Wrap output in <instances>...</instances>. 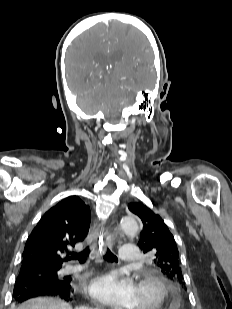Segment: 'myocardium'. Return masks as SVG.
I'll list each match as a JSON object with an SVG mask.
<instances>
[{
  "label": "myocardium",
  "instance_id": "f54148a6",
  "mask_svg": "<svg viewBox=\"0 0 232 309\" xmlns=\"http://www.w3.org/2000/svg\"><path fill=\"white\" fill-rule=\"evenodd\" d=\"M152 285L156 291V298L152 305L143 309H163L170 296V291L165 280L158 274L150 271H142L139 274L138 286Z\"/></svg>",
  "mask_w": 232,
  "mask_h": 309
}]
</instances>
